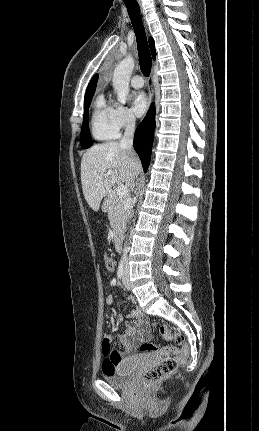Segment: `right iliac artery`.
<instances>
[{
	"instance_id": "82829eb1",
	"label": "right iliac artery",
	"mask_w": 259,
	"mask_h": 431,
	"mask_svg": "<svg viewBox=\"0 0 259 431\" xmlns=\"http://www.w3.org/2000/svg\"><path fill=\"white\" fill-rule=\"evenodd\" d=\"M123 274H124V262L123 260H121L117 270L118 278L121 279L123 277Z\"/></svg>"
}]
</instances>
